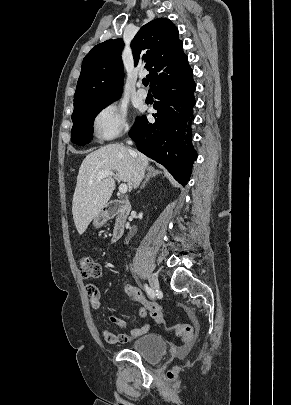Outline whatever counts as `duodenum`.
<instances>
[{
  "label": "duodenum",
  "mask_w": 291,
  "mask_h": 405,
  "mask_svg": "<svg viewBox=\"0 0 291 405\" xmlns=\"http://www.w3.org/2000/svg\"><path fill=\"white\" fill-rule=\"evenodd\" d=\"M130 210V203L125 199L112 200L104 208V216L107 219L114 220V227L111 235L112 242L118 241L123 236Z\"/></svg>",
  "instance_id": "410a0bca"
}]
</instances>
